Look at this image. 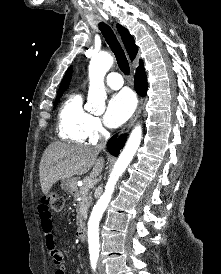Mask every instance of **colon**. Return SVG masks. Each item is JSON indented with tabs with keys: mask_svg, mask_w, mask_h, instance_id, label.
I'll return each mask as SVG.
<instances>
[{
	"mask_svg": "<svg viewBox=\"0 0 221 274\" xmlns=\"http://www.w3.org/2000/svg\"><path fill=\"white\" fill-rule=\"evenodd\" d=\"M55 212H60L64 208V198L56 193H51L46 196L42 202Z\"/></svg>",
	"mask_w": 221,
	"mask_h": 274,
	"instance_id": "5ec220e1",
	"label": "colon"
}]
</instances>
